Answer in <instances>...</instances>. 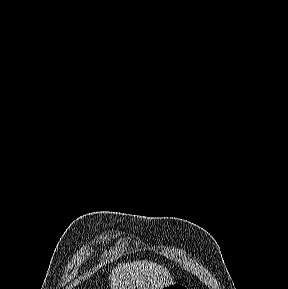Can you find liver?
Instances as JSON below:
<instances>
[{
	"mask_svg": "<svg viewBox=\"0 0 288 289\" xmlns=\"http://www.w3.org/2000/svg\"><path fill=\"white\" fill-rule=\"evenodd\" d=\"M171 284L167 268L146 260L118 264L110 274L111 289H163Z\"/></svg>",
	"mask_w": 288,
	"mask_h": 289,
	"instance_id": "obj_1",
	"label": "liver"
}]
</instances>
